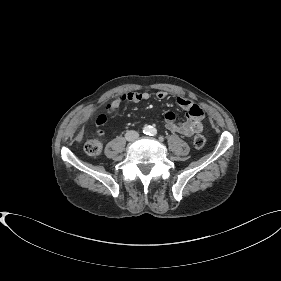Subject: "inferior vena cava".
<instances>
[{"instance_id":"obj_1","label":"inferior vena cava","mask_w":281,"mask_h":281,"mask_svg":"<svg viewBox=\"0 0 281 281\" xmlns=\"http://www.w3.org/2000/svg\"><path fill=\"white\" fill-rule=\"evenodd\" d=\"M138 137H139L138 132L133 130L127 131L125 134V138L127 141H135L138 139Z\"/></svg>"}]
</instances>
